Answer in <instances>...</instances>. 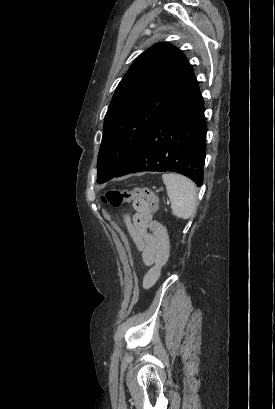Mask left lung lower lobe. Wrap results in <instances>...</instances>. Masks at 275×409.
<instances>
[{
  "mask_svg": "<svg viewBox=\"0 0 275 409\" xmlns=\"http://www.w3.org/2000/svg\"><path fill=\"white\" fill-rule=\"evenodd\" d=\"M204 110L197 87L153 124L114 177L139 171H174L201 186L207 133Z\"/></svg>",
  "mask_w": 275,
  "mask_h": 409,
  "instance_id": "left-lung-lower-lobe-1",
  "label": "left lung lower lobe"
}]
</instances>
